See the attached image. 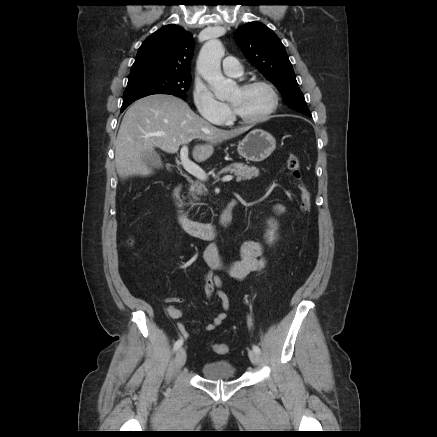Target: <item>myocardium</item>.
Segmentation results:
<instances>
[{
	"mask_svg": "<svg viewBox=\"0 0 437 437\" xmlns=\"http://www.w3.org/2000/svg\"><path fill=\"white\" fill-rule=\"evenodd\" d=\"M263 87L265 89L268 90V92L270 93L271 96V102L269 107L260 115L256 116V117H243L241 115H239L234 107L231 105V114H232V119L243 123V124H257L260 123L262 121H265L266 119H268L277 109L278 107V103H279V97H278V93L276 91V89L274 88V86L265 81V80H250V81H246L244 82L240 87L241 88H251V87Z\"/></svg>",
	"mask_w": 437,
	"mask_h": 437,
	"instance_id": "1",
	"label": "myocardium"
}]
</instances>
